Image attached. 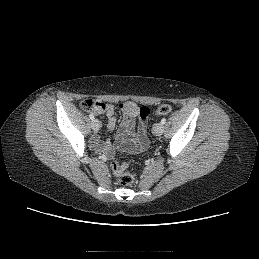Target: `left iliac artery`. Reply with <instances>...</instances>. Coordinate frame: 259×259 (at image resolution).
Listing matches in <instances>:
<instances>
[{"mask_svg":"<svg viewBox=\"0 0 259 259\" xmlns=\"http://www.w3.org/2000/svg\"><path fill=\"white\" fill-rule=\"evenodd\" d=\"M161 123L165 124L166 123V118H162Z\"/></svg>","mask_w":259,"mask_h":259,"instance_id":"left-iliac-artery-1","label":"left iliac artery"}]
</instances>
